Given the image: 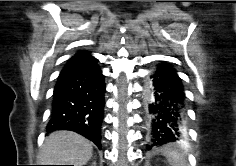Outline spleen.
I'll return each mask as SVG.
<instances>
[{
    "mask_svg": "<svg viewBox=\"0 0 236 166\" xmlns=\"http://www.w3.org/2000/svg\"><path fill=\"white\" fill-rule=\"evenodd\" d=\"M170 155L173 157V159H175V161L179 160V157H181L179 154H177L176 152H172L170 153ZM181 160V158H180ZM182 161V160H181ZM184 166V165H183Z\"/></svg>",
    "mask_w": 236,
    "mask_h": 166,
    "instance_id": "3e777b00",
    "label": "spleen"
}]
</instances>
